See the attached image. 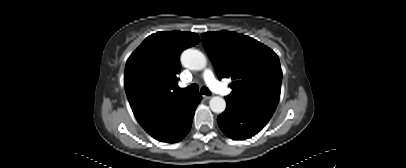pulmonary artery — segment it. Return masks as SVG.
Instances as JSON below:
<instances>
[{
  "instance_id": "pulmonary-artery-1",
  "label": "pulmonary artery",
  "mask_w": 406,
  "mask_h": 168,
  "mask_svg": "<svg viewBox=\"0 0 406 168\" xmlns=\"http://www.w3.org/2000/svg\"><path fill=\"white\" fill-rule=\"evenodd\" d=\"M202 78L207 86L214 92L226 96L230 94V89L219 83L214 77L213 72L210 69H205L202 73Z\"/></svg>"
}]
</instances>
